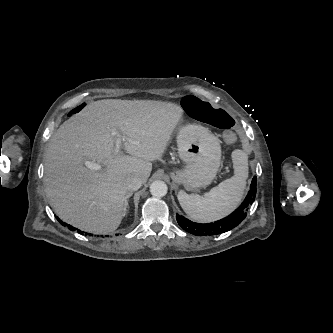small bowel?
Instances as JSON below:
<instances>
[{"label":"small bowel","mask_w":333,"mask_h":333,"mask_svg":"<svg viewBox=\"0 0 333 333\" xmlns=\"http://www.w3.org/2000/svg\"><path fill=\"white\" fill-rule=\"evenodd\" d=\"M220 141L224 144V145H233V144H236L238 142V140H240V142L243 143V148H244V152L246 153L249 148H250V144H249V141L248 139L243 136V135H238V133L236 131H233V130H225V131H222L220 133Z\"/></svg>","instance_id":"1"}]
</instances>
